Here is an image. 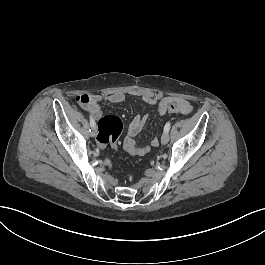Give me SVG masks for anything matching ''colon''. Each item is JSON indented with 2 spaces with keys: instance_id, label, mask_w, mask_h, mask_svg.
Masks as SVG:
<instances>
[{
  "instance_id": "obj_1",
  "label": "colon",
  "mask_w": 265,
  "mask_h": 265,
  "mask_svg": "<svg viewBox=\"0 0 265 265\" xmlns=\"http://www.w3.org/2000/svg\"><path fill=\"white\" fill-rule=\"evenodd\" d=\"M80 97L75 98V101ZM166 110H170L172 113L183 112L185 110L178 106L176 101L166 102ZM123 130L122 120L112 114L101 116L97 124L96 142L100 148H106L109 145H115Z\"/></svg>"
}]
</instances>
